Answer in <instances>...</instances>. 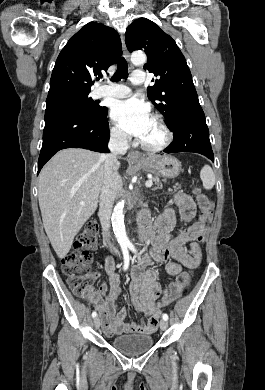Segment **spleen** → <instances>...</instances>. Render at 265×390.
I'll list each match as a JSON object with an SVG mask.
<instances>
[{
    "label": "spleen",
    "instance_id": "spleen-1",
    "mask_svg": "<svg viewBox=\"0 0 265 390\" xmlns=\"http://www.w3.org/2000/svg\"><path fill=\"white\" fill-rule=\"evenodd\" d=\"M200 178L203 183V187L206 190H210L215 185V174L209 165H204L200 171Z\"/></svg>",
    "mask_w": 265,
    "mask_h": 390
}]
</instances>
